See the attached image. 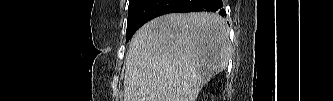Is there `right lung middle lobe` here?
<instances>
[{
  "label": "right lung middle lobe",
  "instance_id": "1",
  "mask_svg": "<svg viewBox=\"0 0 333 101\" xmlns=\"http://www.w3.org/2000/svg\"><path fill=\"white\" fill-rule=\"evenodd\" d=\"M142 2H143V0H130L129 1L126 41H129V39L134 34L132 22H133L135 14Z\"/></svg>",
  "mask_w": 333,
  "mask_h": 101
}]
</instances>
